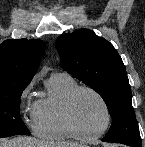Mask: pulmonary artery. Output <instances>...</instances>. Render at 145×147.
Returning <instances> with one entry per match:
<instances>
[{"label": "pulmonary artery", "mask_w": 145, "mask_h": 147, "mask_svg": "<svg viewBox=\"0 0 145 147\" xmlns=\"http://www.w3.org/2000/svg\"><path fill=\"white\" fill-rule=\"evenodd\" d=\"M58 72H53L52 74H57ZM64 74H67V73H64Z\"/></svg>", "instance_id": "obj_1"}]
</instances>
